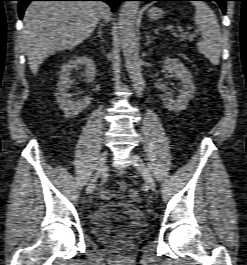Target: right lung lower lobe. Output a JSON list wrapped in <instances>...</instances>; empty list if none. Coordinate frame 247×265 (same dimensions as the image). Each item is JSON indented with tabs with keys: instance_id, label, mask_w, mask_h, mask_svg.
I'll use <instances>...</instances> for the list:
<instances>
[{
	"instance_id": "obj_1",
	"label": "right lung lower lobe",
	"mask_w": 247,
	"mask_h": 265,
	"mask_svg": "<svg viewBox=\"0 0 247 265\" xmlns=\"http://www.w3.org/2000/svg\"><path fill=\"white\" fill-rule=\"evenodd\" d=\"M18 1H19L18 12L20 18H22L26 7L32 1H104L111 6L112 11H115L120 1H125V0H18Z\"/></svg>"
}]
</instances>
